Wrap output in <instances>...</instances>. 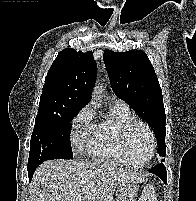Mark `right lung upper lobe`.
Masks as SVG:
<instances>
[{"label": "right lung upper lobe", "instance_id": "right-lung-upper-lobe-1", "mask_svg": "<svg viewBox=\"0 0 196 201\" xmlns=\"http://www.w3.org/2000/svg\"><path fill=\"white\" fill-rule=\"evenodd\" d=\"M97 75L92 52L62 50L45 78L39 112H61L83 108L91 98Z\"/></svg>", "mask_w": 196, "mask_h": 201}]
</instances>
